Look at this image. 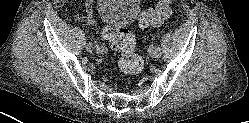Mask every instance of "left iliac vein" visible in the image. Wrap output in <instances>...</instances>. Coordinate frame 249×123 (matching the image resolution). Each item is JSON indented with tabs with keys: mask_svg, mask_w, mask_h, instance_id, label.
<instances>
[{
	"mask_svg": "<svg viewBox=\"0 0 249 123\" xmlns=\"http://www.w3.org/2000/svg\"><path fill=\"white\" fill-rule=\"evenodd\" d=\"M149 56L152 57V58H155L156 57V52H157V47L155 46H151L149 48Z\"/></svg>",
	"mask_w": 249,
	"mask_h": 123,
	"instance_id": "4c4485c4",
	"label": "left iliac vein"
}]
</instances>
